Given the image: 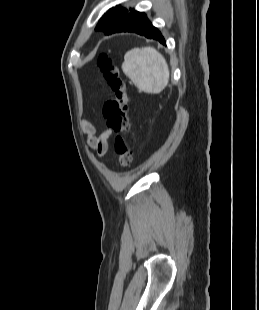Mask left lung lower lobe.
Wrapping results in <instances>:
<instances>
[{
	"instance_id": "obj_1",
	"label": "left lung lower lobe",
	"mask_w": 259,
	"mask_h": 310,
	"mask_svg": "<svg viewBox=\"0 0 259 310\" xmlns=\"http://www.w3.org/2000/svg\"><path fill=\"white\" fill-rule=\"evenodd\" d=\"M116 32H134L166 45L161 32L152 25L146 15L135 10L129 12L110 34Z\"/></svg>"
}]
</instances>
